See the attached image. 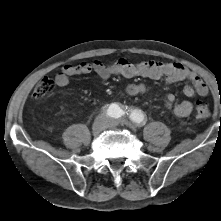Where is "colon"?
<instances>
[{"mask_svg": "<svg viewBox=\"0 0 221 221\" xmlns=\"http://www.w3.org/2000/svg\"><path fill=\"white\" fill-rule=\"evenodd\" d=\"M55 88L54 81L49 77L42 78L36 85L33 91V98L35 100H40L50 94ZM196 116L199 119H206L209 114V108L206 104L202 102H197L195 105Z\"/></svg>", "mask_w": 221, "mask_h": 221, "instance_id": "1", "label": "colon"}]
</instances>
